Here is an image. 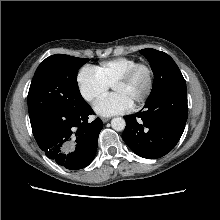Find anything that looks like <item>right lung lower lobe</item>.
Here are the masks:
<instances>
[{
	"instance_id": "obj_1",
	"label": "right lung lower lobe",
	"mask_w": 220,
	"mask_h": 220,
	"mask_svg": "<svg viewBox=\"0 0 220 220\" xmlns=\"http://www.w3.org/2000/svg\"><path fill=\"white\" fill-rule=\"evenodd\" d=\"M87 104L78 111L52 109L30 118L33 135L46 156L70 170L88 166L95 157L98 136L103 128L100 118Z\"/></svg>"
}]
</instances>
